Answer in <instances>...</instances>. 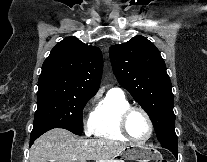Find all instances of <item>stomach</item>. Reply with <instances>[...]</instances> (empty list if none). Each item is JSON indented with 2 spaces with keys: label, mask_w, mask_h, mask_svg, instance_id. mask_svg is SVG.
Returning a JSON list of instances; mask_svg holds the SVG:
<instances>
[{
  "label": "stomach",
  "mask_w": 207,
  "mask_h": 162,
  "mask_svg": "<svg viewBox=\"0 0 207 162\" xmlns=\"http://www.w3.org/2000/svg\"><path fill=\"white\" fill-rule=\"evenodd\" d=\"M124 160L136 162H149L156 160L162 162V155L151 148L145 146H127L112 162H124Z\"/></svg>",
  "instance_id": "0dacf381"
}]
</instances>
